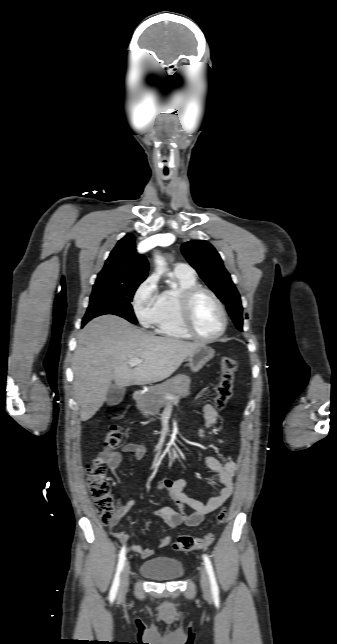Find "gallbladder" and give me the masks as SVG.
<instances>
[{"instance_id":"gallbladder-1","label":"gallbladder","mask_w":337,"mask_h":644,"mask_svg":"<svg viewBox=\"0 0 337 644\" xmlns=\"http://www.w3.org/2000/svg\"><path fill=\"white\" fill-rule=\"evenodd\" d=\"M125 395V388L118 387L117 385H111L106 396V402L109 406H114L119 404Z\"/></svg>"}]
</instances>
